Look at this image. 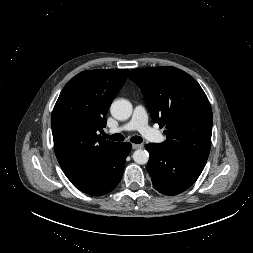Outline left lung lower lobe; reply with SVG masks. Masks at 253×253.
Segmentation results:
<instances>
[{
  "instance_id": "1",
  "label": "left lung lower lobe",
  "mask_w": 253,
  "mask_h": 253,
  "mask_svg": "<svg viewBox=\"0 0 253 253\" xmlns=\"http://www.w3.org/2000/svg\"><path fill=\"white\" fill-rule=\"evenodd\" d=\"M150 154L147 170L157 191L173 196L187 190L197 180L204 166L171 154L160 144L145 145Z\"/></svg>"
}]
</instances>
